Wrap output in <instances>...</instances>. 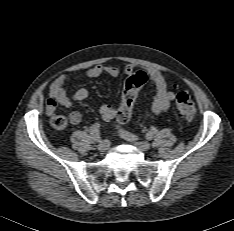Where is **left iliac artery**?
<instances>
[{"label": "left iliac artery", "instance_id": "left-iliac-artery-1", "mask_svg": "<svg viewBox=\"0 0 234 231\" xmlns=\"http://www.w3.org/2000/svg\"><path fill=\"white\" fill-rule=\"evenodd\" d=\"M157 132H158L157 128L152 127V128L150 129V131L146 134V139H152L153 136H154ZM120 135H121L124 139L130 140V141L136 139L135 136H134L133 134H131V133L125 131V130H121V131H120Z\"/></svg>", "mask_w": 234, "mask_h": 231}]
</instances>
